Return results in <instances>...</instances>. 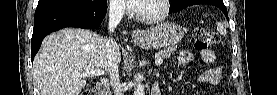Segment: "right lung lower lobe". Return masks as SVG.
<instances>
[{"mask_svg": "<svg viewBox=\"0 0 277 95\" xmlns=\"http://www.w3.org/2000/svg\"><path fill=\"white\" fill-rule=\"evenodd\" d=\"M106 12V0L90 5H58L37 8L31 40L32 62L46 35L65 27L98 28Z\"/></svg>", "mask_w": 277, "mask_h": 95, "instance_id": "obj_1", "label": "right lung lower lobe"}]
</instances>
